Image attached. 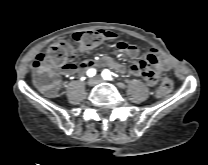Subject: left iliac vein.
Segmentation results:
<instances>
[{
  "instance_id": "4c4485c4",
  "label": "left iliac vein",
  "mask_w": 208,
  "mask_h": 165,
  "mask_svg": "<svg viewBox=\"0 0 208 165\" xmlns=\"http://www.w3.org/2000/svg\"><path fill=\"white\" fill-rule=\"evenodd\" d=\"M97 80L98 83L103 82L104 80L100 77L95 78Z\"/></svg>"
}]
</instances>
